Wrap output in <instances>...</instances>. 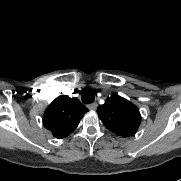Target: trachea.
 I'll list each match as a JSON object with an SVG mask.
<instances>
[{"label":"trachea","mask_w":181,"mask_h":181,"mask_svg":"<svg viewBox=\"0 0 181 181\" xmlns=\"http://www.w3.org/2000/svg\"><path fill=\"white\" fill-rule=\"evenodd\" d=\"M81 100L85 104H90L94 102L95 96L91 91H84L82 93Z\"/></svg>","instance_id":"3493384b"}]
</instances>
